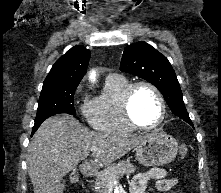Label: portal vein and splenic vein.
<instances>
[{
    "label": "portal vein and splenic vein",
    "instance_id": "obj_1",
    "mask_svg": "<svg viewBox=\"0 0 221 193\" xmlns=\"http://www.w3.org/2000/svg\"><path fill=\"white\" fill-rule=\"evenodd\" d=\"M91 151L95 152V151H97V149L96 148H91Z\"/></svg>",
    "mask_w": 221,
    "mask_h": 193
}]
</instances>
